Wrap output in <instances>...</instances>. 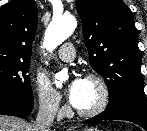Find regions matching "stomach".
Here are the masks:
<instances>
[{
    "mask_svg": "<svg viewBox=\"0 0 147 131\" xmlns=\"http://www.w3.org/2000/svg\"><path fill=\"white\" fill-rule=\"evenodd\" d=\"M82 131H99L97 128H84Z\"/></svg>",
    "mask_w": 147,
    "mask_h": 131,
    "instance_id": "obj_1",
    "label": "stomach"
}]
</instances>
